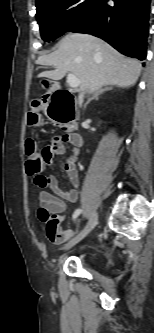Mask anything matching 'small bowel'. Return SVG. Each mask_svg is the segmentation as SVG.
<instances>
[{"label":"small bowel","mask_w":154,"mask_h":333,"mask_svg":"<svg viewBox=\"0 0 154 333\" xmlns=\"http://www.w3.org/2000/svg\"><path fill=\"white\" fill-rule=\"evenodd\" d=\"M66 144L72 146V155L69 157L64 167L72 188L69 190L62 189L58 179L54 175L37 174L34 178L35 184L42 188L39 193L40 207L38 209V217L41 221L47 218L49 214L55 216L62 214L66 208L65 202L74 203L78 199L80 176L75 163L79 148L82 145L81 136L75 133H65L57 136L51 141L50 145L41 149L40 155L43 163L52 165L56 155L65 154ZM59 233L60 238L56 241H52L55 244L63 243L72 235L71 230H59Z\"/></svg>","instance_id":"small-bowel-1"}]
</instances>
